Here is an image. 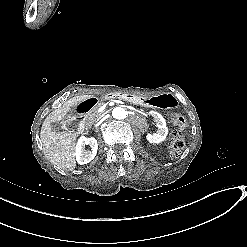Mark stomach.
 Instances as JSON below:
<instances>
[{
  "instance_id": "0dacf381",
  "label": "stomach",
  "mask_w": 247,
  "mask_h": 247,
  "mask_svg": "<svg viewBox=\"0 0 247 247\" xmlns=\"http://www.w3.org/2000/svg\"><path fill=\"white\" fill-rule=\"evenodd\" d=\"M141 104L148 107L176 109L178 108V100L171 93H162L150 97L140 99Z\"/></svg>"
}]
</instances>
